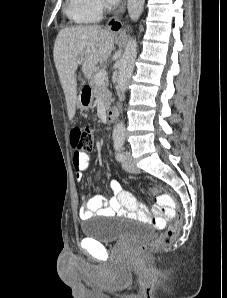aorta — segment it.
Masks as SVG:
<instances>
[{
  "instance_id": "aorta-1",
  "label": "aorta",
  "mask_w": 227,
  "mask_h": 298,
  "mask_svg": "<svg viewBox=\"0 0 227 298\" xmlns=\"http://www.w3.org/2000/svg\"><path fill=\"white\" fill-rule=\"evenodd\" d=\"M145 0H128L127 9L129 17L132 21H137L144 9ZM137 56V41L131 38L126 46L124 53L118 63V79L117 89L122 96L125 95L128 82L134 70L135 59ZM125 126L123 122H119L113 130L114 140H124Z\"/></svg>"
}]
</instances>
